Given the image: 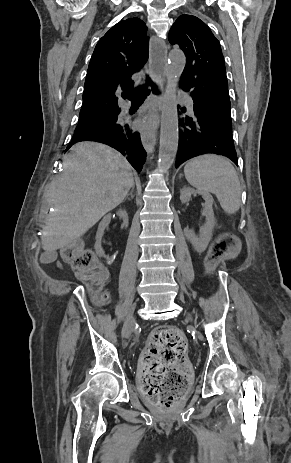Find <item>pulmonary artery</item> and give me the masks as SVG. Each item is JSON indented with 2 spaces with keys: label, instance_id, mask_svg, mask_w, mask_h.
Instances as JSON below:
<instances>
[{
  "label": "pulmonary artery",
  "instance_id": "pulmonary-artery-1",
  "mask_svg": "<svg viewBox=\"0 0 291 463\" xmlns=\"http://www.w3.org/2000/svg\"><path fill=\"white\" fill-rule=\"evenodd\" d=\"M182 99L184 100L185 104L187 105V108L190 113H193V101L190 97H188L186 94L182 93L181 94ZM129 108V105L127 103L122 104V109L125 111Z\"/></svg>",
  "mask_w": 291,
  "mask_h": 463
}]
</instances>
